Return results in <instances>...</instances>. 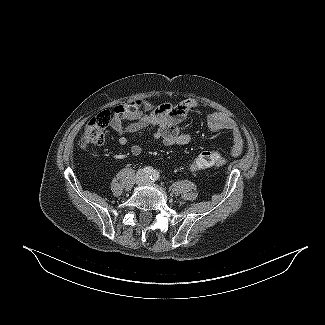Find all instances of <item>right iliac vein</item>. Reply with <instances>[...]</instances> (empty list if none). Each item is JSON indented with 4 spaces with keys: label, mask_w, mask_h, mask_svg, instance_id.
Returning a JSON list of instances; mask_svg holds the SVG:
<instances>
[{
    "label": "right iliac vein",
    "mask_w": 325,
    "mask_h": 325,
    "mask_svg": "<svg viewBox=\"0 0 325 325\" xmlns=\"http://www.w3.org/2000/svg\"><path fill=\"white\" fill-rule=\"evenodd\" d=\"M143 182H144V173H143V171H138L137 176H136V183L142 184Z\"/></svg>",
    "instance_id": "obj_1"
}]
</instances>
